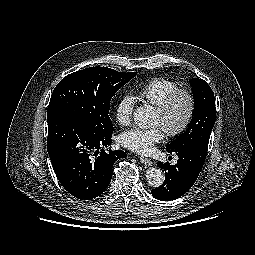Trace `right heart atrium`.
<instances>
[{
  "mask_svg": "<svg viewBox=\"0 0 255 255\" xmlns=\"http://www.w3.org/2000/svg\"><path fill=\"white\" fill-rule=\"evenodd\" d=\"M134 98L129 95H123L115 106V117L119 124L127 125L131 119L134 110Z\"/></svg>",
  "mask_w": 255,
  "mask_h": 255,
  "instance_id": "obj_1",
  "label": "right heart atrium"
}]
</instances>
